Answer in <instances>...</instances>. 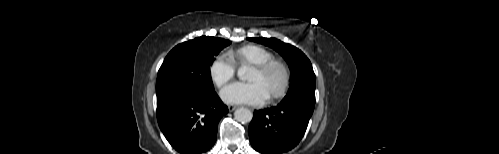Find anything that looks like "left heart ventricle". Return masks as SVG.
Listing matches in <instances>:
<instances>
[{
    "instance_id": "obj_1",
    "label": "left heart ventricle",
    "mask_w": 499,
    "mask_h": 154,
    "mask_svg": "<svg viewBox=\"0 0 499 154\" xmlns=\"http://www.w3.org/2000/svg\"><path fill=\"white\" fill-rule=\"evenodd\" d=\"M247 79L250 82L260 83L269 96L281 85L282 71L278 67H275L268 73L263 74L256 71L255 69H252Z\"/></svg>"
}]
</instances>
